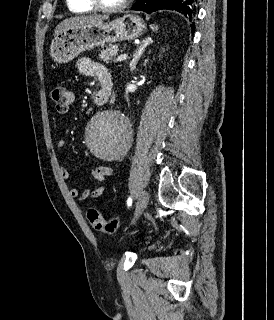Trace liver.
<instances>
[{
	"mask_svg": "<svg viewBox=\"0 0 274 320\" xmlns=\"http://www.w3.org/2000/svg\"><path fill=\"white\" fill-rule=\"evenodd\" d=\"M109 16H75V18H68V20H63L59 26H57L54 36H57L62 30L66 28H74V26H89V24H98V22H104L108 20Z\"/></svg>",
	"mask_w": 274,
	"mask_h": 320,
	"instance_id": "liver-1",
	"label": "liver"
}]
</instances>
